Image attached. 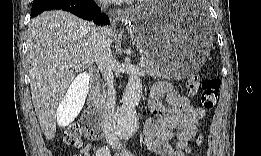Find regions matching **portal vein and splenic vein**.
Returning a JSON list of instances; mask_svg holds the SVG:
<instances>
[{
    "label": "portal vein and splenic vein",
    "mask_w": 261,
    "mask_h": 156,
    "mask_svg": "<svg viewBox=\"0 0 261 156\" xmlns=\"http://www.w3.org/2000/svg\"><path fill=\"white\" fill-rule=\"evenodd\" d=\"M140 67H144L146 65V62L144 60H141L139 63ZM73 66V65H72Z\"/></svg>",
    "instance_id": "portal-vein-and-splenic-vein-1"
}]
</instances>
